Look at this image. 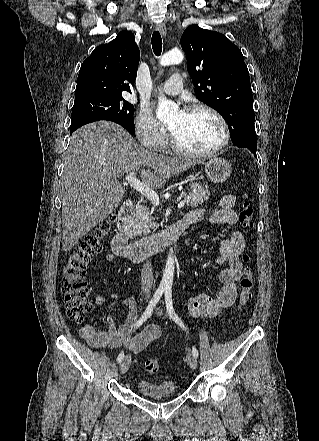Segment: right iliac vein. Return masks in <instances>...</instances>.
I'll return each instance as SVG.
<instances>
[{"mask_svg": "<svg viewBox=\"0 0 319 441\" xmlns=\"http://www.w3.org/2000/svg\"><path fill=\"white\" fill-rule=\"evenodd\" d=\"M130 364H131V356H130V355H127V356L121 361V364H120V373H121V374L126 373V372L128 371V369H129V367H130Z\"/></svg>", "mask_w": 319, "mask_h": 441, "instance_id": "right-iliac-vein-1", "label": "right iliac vein"}]
</instances>
